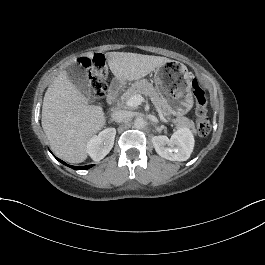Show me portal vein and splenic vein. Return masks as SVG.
<instances>
[{"label": "portal vein and splenic vein", "mask_w": 265, "mask_h": 265, "mask_svg": "<svg viewBox=\"0 0 265 265\" xmlns=\"http://www.w3.org/2000/svg\"><path fill=\"white\" fill-rule=\"evenodd\" d=\"M142 102H144V97H142V95L140 94H135L130 97V99L126 102V104L127 106H130V107H137ZM157 112L159 114L160 119L166 122L167 120L164 118L163 113L159 107H157Z\"/></svg>", "instance_id": "18ae733b"}]
</instances>
